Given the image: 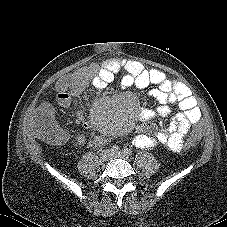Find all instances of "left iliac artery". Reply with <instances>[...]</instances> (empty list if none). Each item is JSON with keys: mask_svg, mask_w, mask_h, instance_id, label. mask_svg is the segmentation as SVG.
<instances>
[{"mask_svg": "<svg viewBox=\"0 0 227 227\" xmlns=\"http://www.w3.org/2000/svg\"><path fill=\"white\" fill-rule=\"evenodd\" d=\"M124 152H126V153L129 154V155L132 154V151H131L130 149H128V148H125V149H124Z\"/></svg>", "mask_w": 227, "mask_h": 227, "instance_id": "1", "label": "left iliac artery"}]
</instances>
